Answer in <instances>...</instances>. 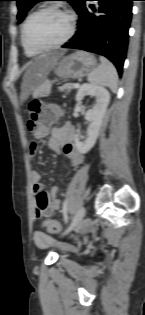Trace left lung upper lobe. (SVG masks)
<instances>
[{"label":"left lung upper lobe","instance_id":"5c2ea615","mask_svg":"<svg viewBox=\"0 0 145 315\" xmlns=\"http://www.w3.org/2000/svg\"><path fill=\"white\" fill-rule=\"evenodd\" d=\"M17 1V7H18V15L17 19L19 20V23L24 19L26 13L29 11V9L36 4L37 2L40 1H45V0H15ZM63 1H68L72 4L74 9L76 8L79 0H63Z\"/></svg>","mask_w":145,"mask_h":315}]
</instances>
